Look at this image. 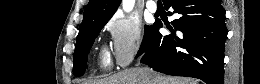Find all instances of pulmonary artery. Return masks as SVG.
<instances>
[{"mask_svg":"<svg viewBox=\"0 0 260 84\" xmlns=\"http://www.w3.org/2000/svg\"><path fill=\"white\" fill-rule=\"evenodd\" d=\"M146 6H147V9H148L151 13H155V12L157 11V8H158L156 2H155V1H152V0L148 1L147 4H146Z\"/></svg>","mask_w":260,"mask_h":84,"instance_id":"pulmonary-artery-1","label":"pulmonary artery"}]
</instances>
